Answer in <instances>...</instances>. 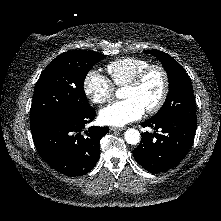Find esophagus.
<instances>
[{
	"mask_svg": "<svg viewBox=\"0 0 221 221\" xmlns=\"http://www.w3.org/2000/svg\"><path fill=\"white\" fill-rule=\"evenodd\" d=\"M125 128H122V127H114V126H111L110 127V130L111 131H123Z\"/></svg>",
	"mask_w": 221,
	"mask_h": 221,
	"instance_id": "1",
	"label": "esophagus"
}]
</instances>
